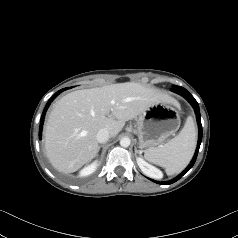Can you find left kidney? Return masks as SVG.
<instances>
[{
	"instance_id": "5707ae66",
	"label": "left kidney",
	"mask_w": 238,
	"mask_h": 238,
	"mask_svg": "<svg viewBox=\"0 0 238 238\" xmlns=\"http://www.w3.org/2000/svg\"><path fill=\"white\" fill-rule=\"evenodd\" d=\"M138 166L140 169L148 176L155 177V178H161L162 172L155 168L154 166L148 164L145 160L138 157L136 159Z\"/></svg>"
}]
</instances>
